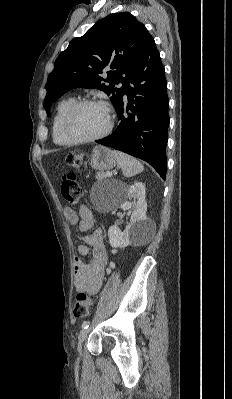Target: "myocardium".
Masks as SVG:
<instances>
[{
    "mask_svg": "<svg viewBox=\"0 0 232 399\" xmlns=\"http://www.w3.org/2000/svg\"><path fill=\"white\" fill-rule=\"evenodd\" d=\"M86 105H102L104 106L109 114V124L108 127L103 131L101 134L94 136V137H89V138H81L75 135L71 129V119L74 113L81 107L86 106ZM115 125V117L113 110L109 104L106 102L100 101V100H95V99H83L76 101L65 113L64 118H63V131L65 135L74 143L76 144H83V143H94L101 141L108 137L111 132L113 131Z\"/></svg>",
    "mask_w": 232,
    "mask_h": 399,
    "instance_id": "myocardium-1",
    "label": "myocardium"
}]
</instances>
